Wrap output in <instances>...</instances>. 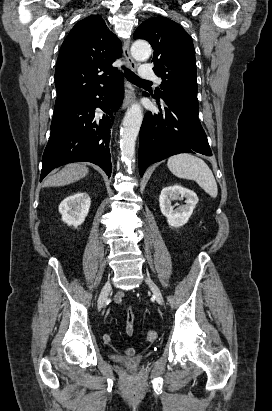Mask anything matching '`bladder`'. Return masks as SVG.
Returning a JSON list of instances; mask_svg holds the SVG:
<instances>
[{"instance_id":"1","label":"bladder","mask_w":272,"mask_h":411,"mask_svg":"<svg viewBox=\"0 0 272 411\" xmlns=\"http://www.w3.org/2000/svg\"><path fill=\"white\" fill-rule=\"evenodd\" d=\"M112 358L116 363L128 369H136L145 362L148 358V354H140L134 357L114 355Z\"/></svg>"}]
</instances>
